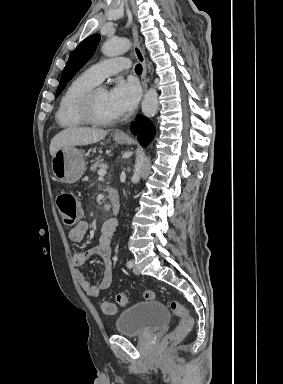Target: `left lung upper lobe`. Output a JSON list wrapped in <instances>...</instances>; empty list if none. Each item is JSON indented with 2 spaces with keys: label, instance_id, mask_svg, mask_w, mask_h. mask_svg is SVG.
<instances>
[{
  "label": "left lung upper lobe",
  "instance_id": "obj_1",
  "mask_svg": "<svg viewBox=\"0 0 283 384\" xmlns=\"http://www.w3.org/2000/svg\"><path fill=\"white\" fill-rule=\"evenodd\" d=\"M100 40L98 34L91 35L83 40L80 45L71 53L67 64L62 72L61 80L55 97L65 88L76 72L91 58Z\"/></svg>",
  "mask_w": 283,
  "mask_h": 384
}]
</instances>
